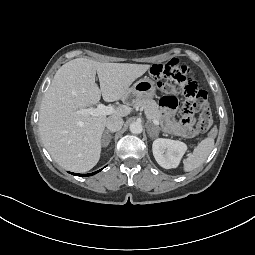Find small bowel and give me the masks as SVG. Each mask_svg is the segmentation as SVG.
<instances>
[{
    "label": "small bowel",
    "instance_id": "1",
    "mask_svg": "<svg viewBox=\"0 0 255 255\" xmlns=\"http://www.w3.org/2000/svg\"><path fill=\"white\" fill-rule=\"evenodd\" d=\"M166 129L178 136L192 138L196 135L193 128V118L191 115H183L180 120H175L174 114L177 100L174 97H165L160 102Z\"/></svg>",
    "mask_w": 255,
    "mask_h": 255
}]
</instances>
